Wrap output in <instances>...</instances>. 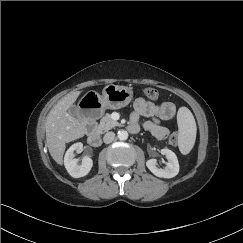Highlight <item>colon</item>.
<instances>
[{"instance_id":"obj_1","label":"colon","mask_w":243,"mask_h":243,"mask_svg":"<svg viewBox=\"0 0 243 243\" xmlns=\"http://www.w3.org/2000/svg\"><path fill=\"white\" fill-rule=\"evenodd\" d=\"M142 92L146 97L152 100H156L159 97V91L156 88L153 87H145L142 89ZM169 144L176 145L177 144V138L175 135H171L169 138Z\"/></svg>"}]
</instances>
